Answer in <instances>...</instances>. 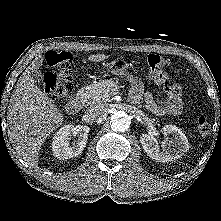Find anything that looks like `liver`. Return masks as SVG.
I'll return each mask as SVG.
<instances>
[{"label": "liver", "instance_id": "obj_1", "mask_svg": "<svg viewBox=\"0 0 221 221\" xmlns=\"http://www.w3.org/2000/svg\"><path fill=\"white\" fill-rule=\"evenodd\" d=\"M105 54H92L89 61L100 62ZM39 55L22 73L11 95L8 112V137L16 152L26 163L35 166L39 151L48 136L63 122V114L41 89L35 85L33 72L43 64Z\"/></svg>", "mask_w": 221, "mask_h": 221}]
</instances>
